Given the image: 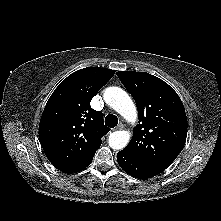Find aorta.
<instances>
[{
  "label": "aorta",
  "mask_w": 221,
  "mask_h": 221,
  "mask_svg": "<svg viewBox=\"0 0 221 221\" xmlns=\"http://www.w3.org/2000/svg\"><path fill=\"white\" fill-rule=\"evenodd\" d=\"M104 101L128 122L137 120V109L130 96L119 87H109L104 92ZM131 135L127 131H115L109 135V146L121 150L127 146Z\"/></svg>",
  "instance_id": "1"
}]
</instances>
